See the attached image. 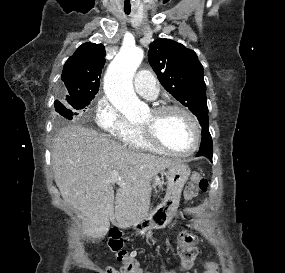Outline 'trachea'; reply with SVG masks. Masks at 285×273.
Here are the masks:
<instances>
[{
    "label": "trachea",
    "mask_w": 285,
    "mask_h": 273,
    "mask_svg": "<svg viewBox=\"0 0 285 273\" xmlns=\"http://www.w3.org/2000/svg\"><path fill=\"white\" fill-rule=\"evenodd\" d=\"M127 15H129L130 14V12H125Z\"/></svg>",
    "instance_id": "trachea-1"
}]
</instances>
